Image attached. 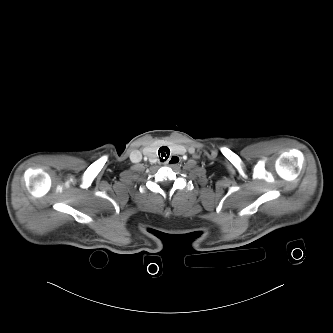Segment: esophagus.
I'll return each instance as SVG.
<instances>
[{"label": "esophagus", "mask_w": 333, "mask_h": 333, "mask_svg": "<svg viewBox=\"0 0 333 333\" xmlns=\"http://www.w3.org/2000/svg\"><path fill=\"white\" fill-rule=\"evenodd\" d=\"M181 159L177 155L171 156L169 159H167L164 164L165 165H178Z\"/></svg>", "instance_id": "esophagus-1"}]
</instances>
